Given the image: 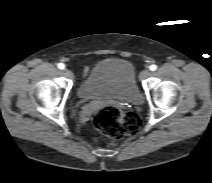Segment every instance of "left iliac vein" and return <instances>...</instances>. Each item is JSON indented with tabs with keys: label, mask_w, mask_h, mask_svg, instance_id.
<instances>
[{
	"label": "left iliac vein",
	"mask_w": 212,
	"mask_h": 183,
	"mask_svg": "<svg viewBox=\"0 0 212 183\" xmlns=\"http://www.w3.org/2000/svg\"><path fill=\"white\" fill-rule=\"evenodd\" d=\"M151 74V72L148 69H145L141 72L140 74V78L141 79H146L147 77H149Z\"/></svg>",
	"instance_id": "obj_1"
}]
</instances>
